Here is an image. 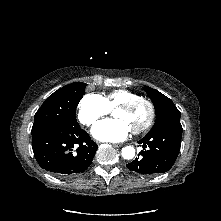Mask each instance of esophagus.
Wrapping results in <instances>:
<instances>
[{
	"label": "esophagus",
	"mask_w": 221,
	"mask_h": 221,
	"mask_svg": "<svg viewBox=\"0 0 221 221\" xmlns=\"http://www.w3.org/2000/svg\"><path fill=\"white\" fill-rule=\"evenodd\" d=\"M111 145L116 148L123 146V144H120V143H112Z\"/></svg>",
	"instance_id": "1"
}]
</instances>
